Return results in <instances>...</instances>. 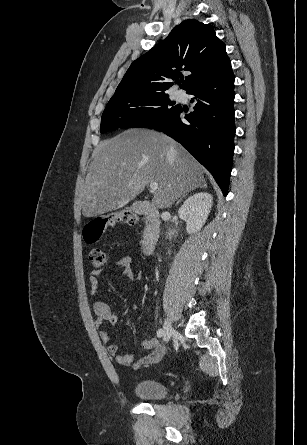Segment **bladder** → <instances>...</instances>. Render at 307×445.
Instances as JSON below:
<instances>
[{
  "mask_svg": "<svg viewBox=\"0 0 307 445\" xmlns=\"http://www.w3.org/2000/svg\"><path fill=\"white\" fill-rule=\"evenodd\" d=\"M134 393L141 399L155 401L167 397L170 387L157 379H144L135 384Z\"/></svg>",
  "mask_w": 307,
  "mask_h": 445,
  "instance_id": "bladder-1",
  "label": "bladder"
}]
</instances>
